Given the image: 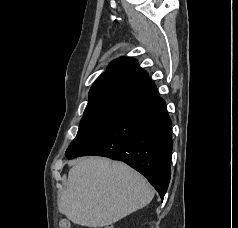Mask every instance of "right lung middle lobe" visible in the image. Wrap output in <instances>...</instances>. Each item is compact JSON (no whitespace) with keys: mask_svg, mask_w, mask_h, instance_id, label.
Instances as JSON below:
<instances>
[{"mask_svg":"<svg viewBox=\"0 0 238 228\" xmlns=\"http://www.w3.org/2000/svg\"><path fill=\"white\" fill-rule=\"evenodd\" d=\"M120 116L118 114L84 113L77 136L68 147L66 154L77 150Z\"/></svg>","mask_w":238,"mask_h":228,"instance_id":"obj_1","label":"right lung middle lobe"}]
</instances>
